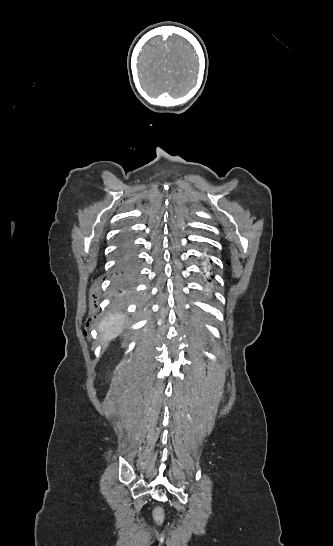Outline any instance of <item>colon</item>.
Here are the masks:
<instances>
[{
  "label": "colon",
  "instance_id": "obj_1",
  "mask_svg": "<svg viewBox=\"0 0 333 546\" xmlns=\"http://www.w3.org/2000/svg\"><path fill=\"white\" fill-rule=\"evenodd\" d=\"M153 520L157 525H162L164 522V511L160 506L153 509Z\"/></svg>",
  "mask_w": 333,
  "mask_h": 546
}]
</instances>
